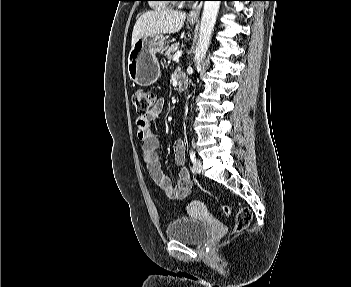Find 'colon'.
<instances>
[{
    "label": "colon",
    "instance_id": "1",
    "mask_svg": "<svg viewBox=\"0 0 351 287\" xmlns=\"http://www.w3.org/2000/svg\"><path fill=\"white\" fill-rule=\"evenodd\" d=\"M132 102L138 117H145L156 102L155 94L152 91L138 89L132 93ZM224 216H229L231 211L229 206L224 205L221 209ZM252 220V212L248 208H241L236 214L235 229L242 230L249 226Z\"/></svg>",
    "mask_w": 351,
    "mask_h": 287
}]
</instances>
